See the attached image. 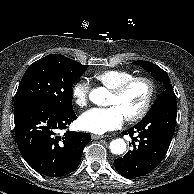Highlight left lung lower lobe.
I'll use <instances>...</instances> for the list:
<instances>
[{
	"instance_id": "0a47b994",
	"label": "left lung lower lobe",
	"mask_w": 194,
	"mask_h": 194,
	"mask_svg": "<svg viewBox=\"0 0 194 194\" xmlns=\"http://www.w3.org/2000/svg\"><path fill=\"white\" fill-rule=\"evenodd\" d=\"M176 101L159 104L149 110L135 126L124 131L138 142L134 149L114 160L115 169L122 176L134 179L155 169L164 158L175 131Z\"/></svg>"
}]
</instances>
